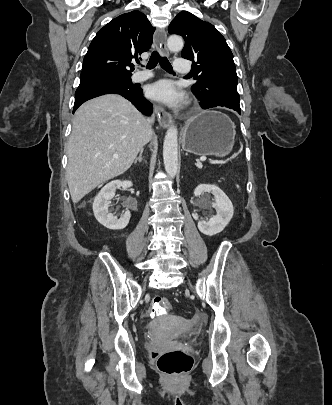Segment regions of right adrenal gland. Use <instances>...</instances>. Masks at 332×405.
<instances>
[{
  "instance_id": "right-adrenal-gland-1",
  "label": "right adrenal gland",
  "mask_w": 332,
  "mask_h": 405,
  "mask_svg": "<svg viewBox=\"0 0 332 405\" xmlns=\"http://www.w3.org/2000/svg\"><path fill=\"white\" fill-rule=\"evenodd\" d=\"M143 151H144V149H141V150H140V153H139L138 158H136V159L134 160V164H136L137 161L142 162V154H143Z\"/></svg>"
}]
</instances>
